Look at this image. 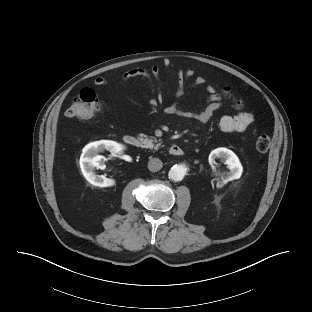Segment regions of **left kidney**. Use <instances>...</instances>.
<instances>
[{"instance_id": "5707ae66", "label": "left kidney", "mask_w": 312, "mask_h": 312, "mask_svg": "<svg viewBox=\"0 0 312 312\" xmlns=\"http://www.w3.org/2000/svg\"><path fill=\"white\" fill-rule=\"evenodd\" d=\"M217 158H221L229 169L228 172L222 173L220 175L222 183L226 184L229 181L239 179L241 177L243 167L241 165V162L239 161V158L233 151L227 148L220 147L214 149L209 154V163L212 166V169L215 172L216 176H219L220 173L216 172L215 166L213 165L215 163V159Z\"/></svg>"}]
</instances>
